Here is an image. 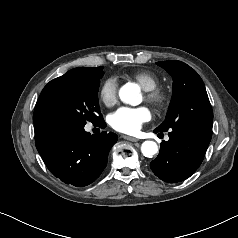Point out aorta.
I'll return each instance as SVG.
<instances>
[{"label":"aorta","instance_id":"aorta-1","mask_svg":"<svg viewBox=\"0 0 238 238\" xmlns=\"http://www.w3.org/2000/svg\"><path fill=\"white\" fill-rule=\"evenodd\" d=\"M140 91L135 84L127 83L119 90V97L123 103L136 104ZM141 152L145 157H152L158 152V145L154 141H144L141 145Z\"/></svg>","mask_w":238,"mask_h":238}]
</instances>
